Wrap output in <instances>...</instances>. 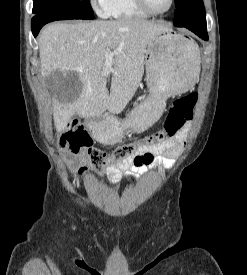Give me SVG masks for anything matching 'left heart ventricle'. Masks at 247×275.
Here are the masks:
<instances>
[{
    "instance_id": "left-heart-ventricle-1",
    "label": "left heart ventricle",
    "mask_w": 247,
    "mask_h": 275,
    "mask_svg": "<svg viewBox=\"0 0 247 275\" xmlns=\"http://www.w3.org/2000/svg\"><path fill=\"white\" fill-rule=\"evenodd\" d=\"M154 11H164L170 5V0H146Z\"/></svg>"
}]
</instances>
